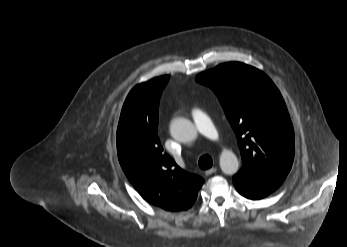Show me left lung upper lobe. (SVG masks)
I'll list each match as a JSON object with an SVG mask.
<instances>
[{"mask_svg": "<svg viewBox=\"0 0 347 247\" xmlns=\"http://www.w3.org/2000/svg\"><path fill=\"white\" fill-rule=\"evenodd\" d=\"M219 98L236 136L243 176L284 181L294 159V131L284 100L262 71L240 62L197 75Z\"/></svg>", "mask_w": 347, "mask_h": 247, "instance_id": "5c2ea615", "label": "left lung upper lobe"}]
</instances>
